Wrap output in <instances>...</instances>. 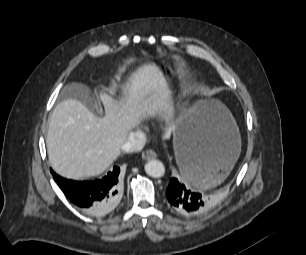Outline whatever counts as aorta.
<instances>
[{"mask_svg":"<svg viewBox=\"0 0 306 255\" xmlns=\"http://www.w3.org/2000/svg\"><path fill=\"white\" fill-rule=\"evenodd\" d=\"M145 172L153 178H160L165 174V166L159 160H150L145 164Z\"/></svg>","mask_w":306,"mask_h":255,"instance_id":"obj_1","label":"aorta"}]
</instances>
